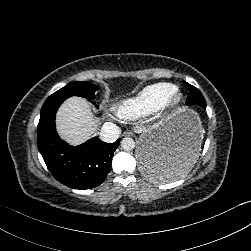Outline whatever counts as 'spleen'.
Wrapping results in <instances>:
<instances>
[{
	"label": "spleen",
	"instance_id": "1",
	"mask_svg": "<svg viewBox=\"0 0 251 251\" xmlns=\"http://www.w3.org/2000/svg\"><path fill=\"white\" fill-rule=\"evenodd\" d=\"M195 159H196V156L193 159H190L188 161H182L179 166V169L176 170L173 174L170 173L168 168L156 162L149 163L148 178L161 179L164 181H170V180L181 178L182 176L190 172L191 168L194 165L193 162L195 161Z\"/></svg>",
	"mask_w": 251,
	"mask_h": 251
}]
</instances>
